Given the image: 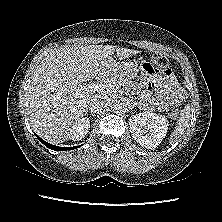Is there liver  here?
I'll list each match as a JSON object with an SVG mask.
<instances>
[{"label":"liver","instance_id":"liver-1","mask_svg":"<svg viewBox=\"0 0 222 222\" xmlns=\"http://www.w3.org/2000/svg\"><path fill=\"white\" fill-rule=\"evenodd\" d=\"M115 51L119 60L139 53L112 45H64L48 53L37 66L25 99L37 135L53 144L69 138L71 127L96 95L83 82L119 73L121 62L111 56Z\"/></svg>","mask_w":222,"mask_h":222}]
</instances>
